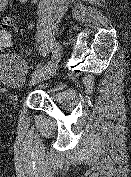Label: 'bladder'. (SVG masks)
<instances>
[{"mask_svg":"<svg viewBox=\"0 0 131 177\" xmlns=\"http://www.w3.org/2000/svg\"><path fill=\"white\" fill-rule=\"evenodd\" d=\"M0 76L8 84L17 86L24 79V66L20 59L10 55L0 62Z\"/></svg>","mask_w":131,"mask_h":177,"instance_id":"obj_1","label":"bladder"}]
</instances>
